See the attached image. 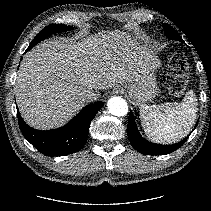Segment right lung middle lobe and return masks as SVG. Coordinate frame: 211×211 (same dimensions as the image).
I'll return each mask as SVG.
<instances>
[{
    "mask_svg": "<svg viewBox=\"0 0 211 211\" xmlns=\"http://www.w3.org/2000/svg\"><path fill=\"white\" fill-rule=\"evenodd\" d=\"M72 27L61 25V24H51L47 27H45L40 33L32 40L29 47L27 48V51L30 50L33 46L38 44L40 41L44 40L49 35L55 33V32H63L71 30Z\"/></svg>",
    "mask_w": 211,
    "mask_h": 211,
    "instance_id": "1",
    "label": "right lung middle lobe"
}]
</instances>
